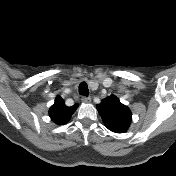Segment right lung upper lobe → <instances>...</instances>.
<instances>
[{
  "label": "right lung upper lobe",
  "mask_w": 176,
  "mask_h": 176,
  "mask_svg": "<svg viewBox=\"0 0 176 176\" xmlns=\"http://www.w3.org/2000/svg\"><path fill=\"white\" fill-rule=\"evenodd\" d=\"M77 107L78 104L67 107L64 100L60 96H57L54 105L50 108L49 115L53 122L63 125L70 120Z\"/></svg>",
  "instance_id": "1"
}]
</instances>
